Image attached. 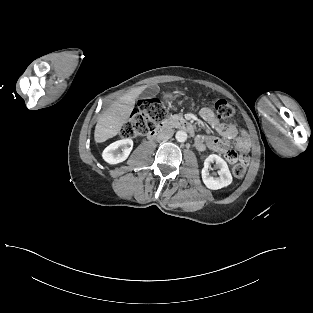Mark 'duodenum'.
I'll use <instances>...</instances> for the list:
<instances>
[{
    "mask_svg": "<svg viewBox=\"0 0 313 313\" xmlns=\"http://www.w3.org/2000/svg\"><path fill=\"white\" fill-rule=\"evenodd\" d=\"M173 127L182 129L191 135H193L195 133L194 127L185 119H183V118H172V119L160 124L153 131L149 132L148 138L149 139H155L157 137L164 136L167 133V131Z\"/></svg>",
    "mask_w": 313,
    "mask_h": 313,
    "instance_id": "obj_1",
    "label": "duodenum"
}]
</instances>
